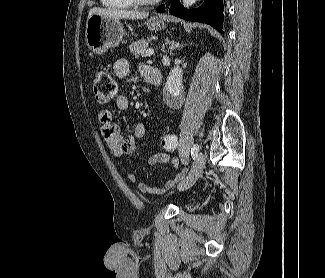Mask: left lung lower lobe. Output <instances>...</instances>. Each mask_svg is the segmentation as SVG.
Here are the masks:
<instances>
[{"instance_id": "left-lung-lower-lobe-1", "label": "left lung lower lobe", "mask_w": 325, "mask_h": 278, "mask_svg": "<svg viewBox=\"0 0 325 278\" xmlns=\"http://www.w3.org/2000/svg\"><path fill=\"white\" fill-rule=\"evenodd\" d=\"M164 10V5L157 8L158 12ZM169 12L185 20L207 23L222 32L223 0H205L200 8L190 10H186L179 0H171Z\"/></svg>"}]
</instances>
